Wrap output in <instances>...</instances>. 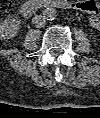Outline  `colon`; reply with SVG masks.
Masks as SVG:
<instances>
[{
	"label": "colon",
	"instance_id": "colon-1",
	"mask_svg": "<svg viewBox=\"0 0 100 118\" xmlns=\"http://www.w3.org/2000/svg\"><path fill=\"white\" fill-rule=\"evenodd\" d=\"M14 3V0H1V9L3 11H8ZM82 6L92 13L91 22L94 25H98L99 23V7L98 3L95 0H87V2L83 3Z\"/></svg>",
	"mask_w": 100,
	"mask_h": 118
}]
</instances>
